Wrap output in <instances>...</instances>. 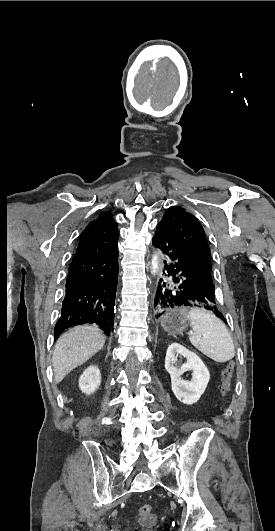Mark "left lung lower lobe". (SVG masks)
Returning <instances> with one entry per match:
<instances>
[{
  "instance_id": "1",
  "label": "left lung lower lobe",
  "mask_w": 275,
  "mask_h": 531,
  "mask_svg": "<svg viewBox=\"0 0 275 531\" xmlns=\"http://www.w3.org/2000/svg\"><path fill=\"white\" fill-rule=\"evenodd\" d=\"M152 244L166 259L164 278L159 280L154 297L155 317L159 318L170 308L185 306L209 310L226 322L215 299L203 293L194 282L180 249L163 225H157Z\"/></svg>"
}]
</instances>
